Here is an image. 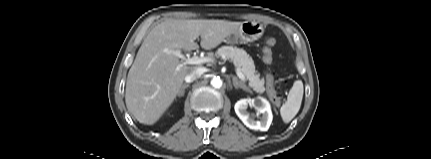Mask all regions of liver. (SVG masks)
<instances>
[{
	"label": "liver",
	"mask_w": 431,
	"mask_h": 159,
	"mask_svg": "<svg viewBox=\"0 0 431 159\" xmlns=\"http://www.w3.org/2000/svg\"><path fill=\"white\" fill-rule=\"evenodd\" d=\"M241 22L206 19H168L145 37L128 72L125 103L142 124L157 122L180 93L186 75L197 66L183 65L168 51H191L199 46L213 49L237 29Z\"/></svg>",
	"instance_id": "1"
}]
</instances>
